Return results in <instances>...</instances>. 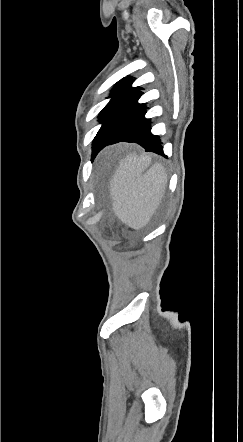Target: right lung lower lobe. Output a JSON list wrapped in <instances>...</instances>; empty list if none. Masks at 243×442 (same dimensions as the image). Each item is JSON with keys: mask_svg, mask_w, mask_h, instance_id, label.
<instances>
[{"mask_svg": "<svg viewBox=\"0 0 243 442\" xmlns=\"http://www.w3.org/2000/svg\"><path fill=\"white\" fill-rule=\"evenodd\" d=\"M141 94L138 90L124 98L102 122L93 141V157L105 146L123 141L164 155L159 137L150 132V119L145 118L148 107L137 102Z\"/></svg>", "mask_w": 243, "mask_h": 442, "instance_id": "right-lung-lower-lobe-1", "label": "right lung lower lobe"}]
</instances>
